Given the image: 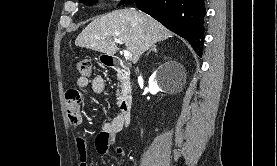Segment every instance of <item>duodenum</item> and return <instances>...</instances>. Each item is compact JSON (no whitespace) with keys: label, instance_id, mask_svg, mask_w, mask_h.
I'll use <instances>...</instances> for the list:
<instances>
[{"label":"duodenum","instance_id":"1","mask_svg":"<svg viewBox=\"0 0 277 166\" xmlns=\"http://www.w3.org/2000/svg\"><path fill=\"white\" fill-rule=\"evenodd\" d=\"M110 68L115 71L118 77L126 81L129 76V69L119 58H111L108 62ZM120 118L124 125H129L132 117V99L126 93L123 95L120 104Z\"/></svg>","mask_w":277,"mask_h":166}]
</instances>
